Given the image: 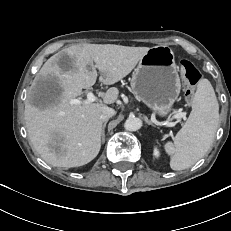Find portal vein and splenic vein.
Segmentation results:
<instances>
[{"mask_svg":"<svg viewBox=\"0 0 231 231\" xmlns=\"http://www.w3.org/2000/svg\"><path fill=\"white\" fill-rule=\"evenodd\" d=\"M97 100V97L94 95L93 92H88L87 93V99L84 101H81L80 99H72L70 100L71 104H81L83 102L85 103H92ZM180 116H184L183 114H180Z\"/></svg>","mask_w":231,"mask_h":231,"instance_id":"obj_1","label":"portal vein and splenic vein"}]
</instances>
